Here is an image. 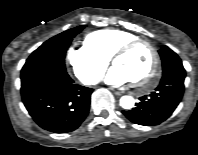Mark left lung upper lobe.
<instances>
[{
	"instance_id": "obj_1",
	"label": "left lung upper lobe",
	"mask_w": 198,
	"mask_h": 155,
	"mask_svg": "<svg viewBox=\"0 0 198 155\" xmlns=\"http://www.w3.org/2000/svg\"><path fill=\"white\" fill-rule=\"evenodd\" d=\"M159 54L162 59L163 75L177 69H184L182 61L178 55L167 46H162V48L159 50ZM141 113L143 114V117H149V113Z\"/></svg>"
}]
</instances>
